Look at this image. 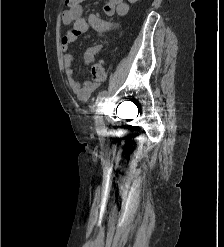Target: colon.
<instances>
[{"label": "colon", "mask_w": 224, "mask_h": 247, "mask_svg": "<svg viewBox=\"0 0 224 247\" xmlns=\"http://www.w3.org/2000/svg\"><path fill=\"white\" fill-rule=\"evenodd\" d=\"M85 0H65L64 4L69 9L82 5ZM91 74L96 81H99L105 76V68L103 62H97L91 67Z\"/></svg>", "instance_id": "1"}]
</instances>
